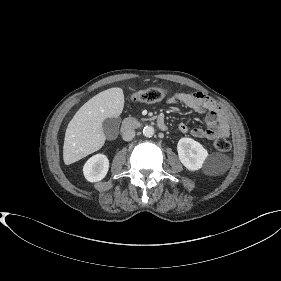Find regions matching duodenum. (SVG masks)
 Returning a JSON list of instances; mask_svg holds the SVG:
<instances>
[{
  "instance_id": "obj_1",
  "label": "duodenum",
  "mask_w": 281,
  "mask_h": 281,
  "mask_svg": "<svg viewBox=\"0 0 281 281\" xmlns=\"http://www.w3.org/2000/svg\"><path fill=\"white\" fill-rule=\"evenodd\" d=\"M136 125L137 124L134 121H126L123 123L121 131L126 132L127 130L131 129L132 127H134ZM156 126L162 131H166L168 128L164 118L161 116L157 117Z\"/></svg>"
}]
</instances>
